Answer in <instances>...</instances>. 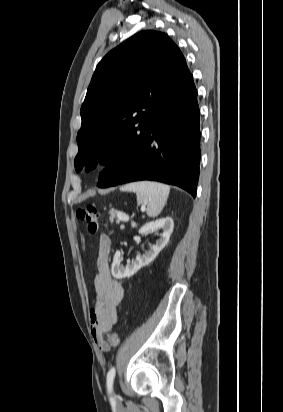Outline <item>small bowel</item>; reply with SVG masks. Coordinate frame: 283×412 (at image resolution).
Segmentation results:
<instances>
[{"label": "small bowel", "instance_id": "small-bowel-1", "mask_svg": "<svg viewBox=\"0 0 283 412\" xmlns=\"http://www.w3.org/2000/svg\"><path fill=\"white\" fill-rule=\"evenodd\" d=\"M111 241L102 235L99 241L97 272L94 278L95 299L89 311L90 331L97 344L102 345V335L117 320V306L124 297L123 286L115 280L109 269Z\"/></svg>", "mask_w": 283, "mask_h": 412}]
</instances>
